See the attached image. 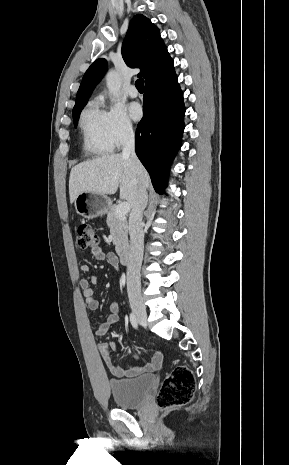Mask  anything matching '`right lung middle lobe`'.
<instances>
[{
	"mask_svg": "<svg viewBox=\"0 0 289 465\" xmlns=\"http://www.w3.org/2000/svg\"><path fill=\"white\" fill-rule=\"evenodd\" d=\"M87 100L79 101L75 103V106L73 108V120H74V125H77V121L80 115L81 110L83 107L86 105Z\"/></svg>",
	"mask_w": 289,
	"mask_h": 465,
	"instance_id": "right-lung-middle-lobe-1",
	"label": "right lung middle lobe"
}]
</instances>
